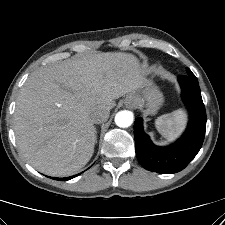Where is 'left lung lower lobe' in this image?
<instances>
[{"instance_id": "left-lung-lower-lobe-1", "label": "left lung lower lobe", "mask_w": 225, "mask_h": 225, "mask_svg": "<svg viewBox=\"0 0 225 225\" xmlns=\"http://www.w3.org/2000/svg\"><path fill=\"white\" fill-rule=\"evenodd\" d=\"M182 98L190 111V122L183 136L173 145L158 147L144 133L142 120L134 123L135 150L147 170L171 174L184 169L199 152L206 130V112L195 75L179 76Z\"/></svg>"}]
</instances>
